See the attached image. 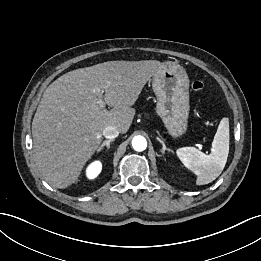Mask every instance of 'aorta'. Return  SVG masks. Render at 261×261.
<instances>
[{
  "label": "aorta",
  "instance_id": "762f6f07",
  "mask_svg": "<svg viewBox=\"0 0 261 261\" xmlns=\"http://www.w3.org/2000/svg\"><path fill=\"white\" fill-rule=\"evenodd\" d=\"M132 147L136 151H144L147 147V141L143 136H135L132 139Z\"/></svg>",
  "mask_w": 261,
  "mask_h": 261
}]
</instances>
